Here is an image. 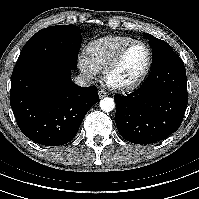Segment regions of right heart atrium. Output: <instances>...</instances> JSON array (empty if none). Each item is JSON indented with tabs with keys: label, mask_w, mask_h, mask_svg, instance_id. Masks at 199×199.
<instances>
[{
	"label": "right heart atrium",
	"mask_w": 199,
	"mask_h": 199,
	"mask_svg": "<svg viewBox=\"0 0 199 199\" xmlns=\"http://www.w3.org/2000/svg\"><path fill=\"white\" fill-rule=\"evenodd\" d=\"M78 67L89 78H95L99 70L95 67L90 57L86 53H81L78 57Z\"/></svg>",
	"instance_id": "obj_1"
}]
</instances>
